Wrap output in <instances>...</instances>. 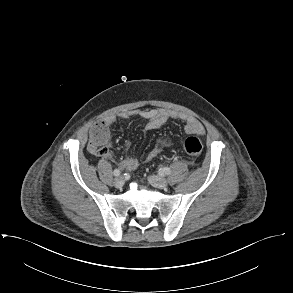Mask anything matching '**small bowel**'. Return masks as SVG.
I'll use <instances>...</instances> for the list:
<instances>
[{
    "instance_id": "1",
    "label": "small bowel",
    "mask_w": 293,
    "mask_h": 293,
    "mask_svg": "<svg viewBox=\"0 0 293 293\" xmlns=\"http://www.w3.org/2000/svg\"><path fill=\"white\" fill-rule=\"evenodd\" d=\"M131 117H140L146 120V129L154 130L160 128L169 120H178L184 123L185 131L187 134L202 136L205 134L203 125L194 117L188 116L184 113L165 109H134L128 111H122L117 114H110L103 118L102 123L106 126L112 125L117 118L129 119ZM160 152L158 147L152 148L146 156V161L153 160ZM106 158H112L113 154L108 151L103 155ZM120 165L127 170H135L139 162L135 158H126L120 162Z\"/></svg>"
}]
</instances>
